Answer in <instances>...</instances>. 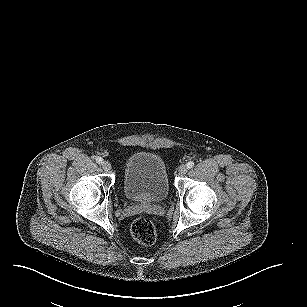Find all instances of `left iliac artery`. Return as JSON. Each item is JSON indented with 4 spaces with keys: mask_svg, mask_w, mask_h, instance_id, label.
<instances>
[{
    "mask_svg": "<svg viewBox=\"0 0 307 307\" xmlns=\"http://www.w3.org/2000/svg\"><path fill=\"white\" fill-rule=\"evenodd\" d=\"M194 162L193 161H189L187 164H186V166L190 169V168H192L193 166H194Z\"/></svg>",
    "mask_w": 307,
    "mask_h": 307,
    "instance_id": "obj_1",
    "label": "left iliac artery"
}]
</instances>
